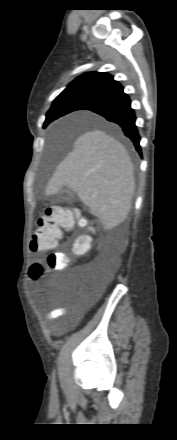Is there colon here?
Returning <instances> with one entry per match:
<instances>
[{
    "label": "colon",
    "instance_id": "colon-1",
    "mask_svg": "<svg viewBox=\"0 0 177 440\" xmlns=\"http://www.w3.org/2000/svg\"><path fill=\"white\" fill-rule=\"evenodd\" d=\"M85 226L86 220L79 216L76 209L66 206H51L45 214L38 218L37 227L31 241V250L48 251L56 247L63 230H70L74 226ZM91 249V241L88 236L76 239L73 250L77 255H86ZM46 265L50 270H61L66 266L64 254L50 252L46 258ZM42 266L36 263L32 268V275L39 278Z\"/></svg>",
    "mask_w": 177,
    "mask_h": 440
}]
</instances>
